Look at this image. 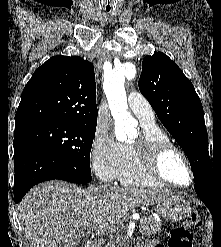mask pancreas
Instances as JSON below:
<instances>
[{"instance_id": "cf45deb5", "label": "pancreas", "mask_w": 221, "mask_h": 247, "mask_svg": "<svg viewBox=\"0 0 221 247\" xmlns=\"http://www.w3.org/2000/svg\"><path fill=\"white\" fill-rule=\"evenodd\" d=\"M161 222H157L152 216L143 217L140 220L139 232L142 235L151 236L160 231ZM112 244V243H110ZM111 247V246H106Z\"/></svg>"}]
</instances>
